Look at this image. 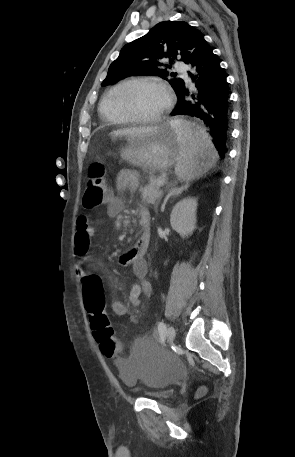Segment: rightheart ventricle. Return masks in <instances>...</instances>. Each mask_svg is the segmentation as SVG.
I'll return each mask as SVG.
<instances>
[{"mask_svg":"<svg viewBox=\"0 0 295 457\" xmlns=\"http://www.w3.org/2000/svg\"><path fill=\"white\" fill-rule=\"evenodd\" d=\"M128 80L121 81L110 87L102 97L99 104V113L104 120L111 124H128L132 122L119 109L117 104V94L120 89L128 83Z\"/></svg>","mask_w":295,"mask_h":457,"instance_id":"right-heart-ventricle-1","label":"right heart ventricle"}]
</instances>
